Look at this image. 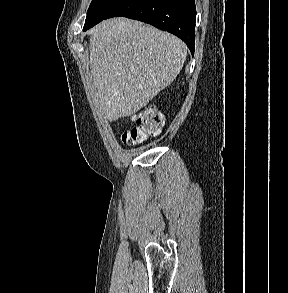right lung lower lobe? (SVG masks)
Segmentation results:
<instances>
[{
  "instance_id": "right-lung-lower-lobe-1",
  "label": "right lung lower lobe",
  "mask_w": 288,
  "mask_h": 293,
  "mask_svg": "<svg viewBox=\"0 0 288 293\" xmlns=\"http://www.w3.org/2000/svg\"><path fill=\"white\" fill-rule=\"evenodd\" d=\"M117 16L143 21L170 32L183 40L194 54V0H124L105 19Z\"/></svg>"
}]
</instances>
